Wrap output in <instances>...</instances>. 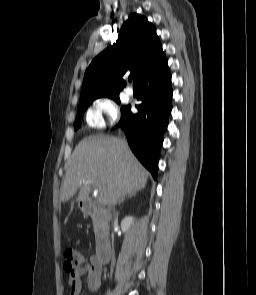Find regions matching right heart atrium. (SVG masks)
Wrapping results in <instances>:
<instances>
[{
	"label": "right heart atrium",
	"mask_w": 256,
	"mask_h": 295,
	"mask_svg": "<svg viewBox=\"0 0 256 295\" xmlns=\"http://www.w3.org/2000/svg\"><path fill=\"white\" fill-rule=\"evenodd\" d=\"M92 112L100 126L115 125L120 119L119 106L109 97L96 99Z\"/></svg>",
	"instance_id": "d8ad5b80"
}]
</instances>
